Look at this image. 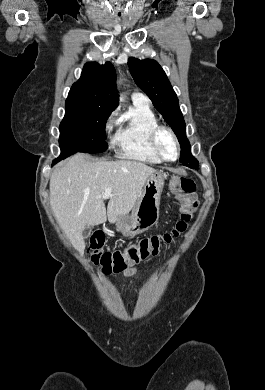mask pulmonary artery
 <instances>
[{"label":"pulmonary artery","mask_w":265,"mask_h":390,"mask_svg":"<svg viewBox=\"0 0 265 390\" xmlns=\"http://www.w3.org/2000/svg\"><path fill=\"white\" fill-rule=\"evenodd\" d=\"M132 100L133 102H138V103H148L147 98L143 94H140L138 92H134L132 94Z\"/></svg>","instance_id":"pulmonary-artery-1"}]
</instances>
